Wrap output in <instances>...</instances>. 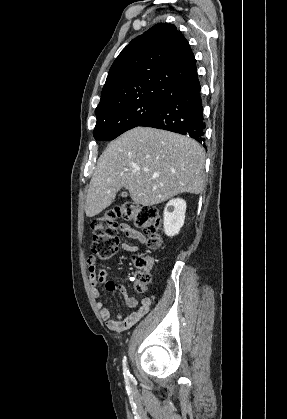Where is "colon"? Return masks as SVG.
I'll return each instance as SVG.
<instances>
[{"instance_id":"5ec220e1","label":"colon","mask_w":287,"mask_h":419,"mask_svg":"<svg viewBox=\"0 0 287 419\" xmlns=\"http://www.w3.org/2000/svg\"><path fill=\"white\" fill-rule=\"evenodd\" d=\"M122 218L133 223L137 228L143 230L148 236V246L157 248L161 244L159 228L161 215L157 208L125 201L112 209H109L95 218L91 223L93 234L91 250L100 259H110L117 251L118 219ZM135 266L139 269L136 276L135 289L143 291L150 282L151 259L143 256H134Z\"/></svg>"}]
</instances>
